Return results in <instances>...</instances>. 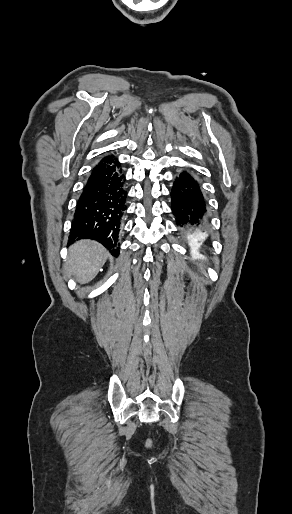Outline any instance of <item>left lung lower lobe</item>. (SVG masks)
Segmentation results:
<instances>
[{
	"label": "left lung lower lobe",
	"instance_id": "0a47b994",
	"mask_svg": "<svg viewBox=\"0 0 292 514\" xmlns=\"http://www.w3.org/2000/svg\"><path fill=\"white\" fill-rule=\"evenodd\" d=\"M171 209L176 225L190 243L204 245L209 229L207 202L197 179L184 170L175 177L171 189Z\"/></svg>",
	"mask_w": 292,
	"mask_h": 514
}]
</instances>
